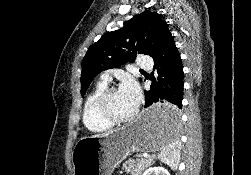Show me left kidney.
Segmentation results:
<instances>
[{"instance_id": "left-kidney-1", "label": "left kidney", "mask_w": 251, "mask_h": 175, "mask_svg": "<svg viewBox=\"0 0 251 175\" xmlns=\"http://www.w3.org/2000/svg\"><path fill=\"white\" fill-rule=\"evenodd\" d=\"M142 175H170L168 169H165V167H160V165H158V167H148V169H145V171H143Z\"/></svg>"}]
</instances>
